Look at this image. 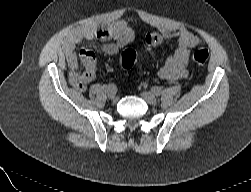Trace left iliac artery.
Masks as SVG:
<instances>
[{
  "instance_id": "44dca946",
  "label": "left iliac artery",
  "mask_w": 251,
  "mask_h": 192,
  "mask_svg": "<svg viewBox=\"0 0 251 192\" xmlns=\"http://www.w3.org/2000/svg\"><path fill=\"white\" fill-rule=\"evenodd\" d=\"M151 91L156 95V96H160L162 93V90L160 87L158 86H154L152 87Z\"/></svg>"
}]
</instances>
